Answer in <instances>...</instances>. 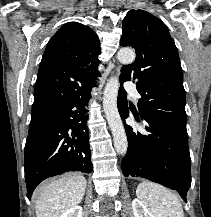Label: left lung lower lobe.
<instances>
[{
    "instance_id": "1",
    "label": "left lung lower lobe",
    "mask_w": 211,
    "mask_h": 217,
    "mask_svg": "<svg viewBox=\"0 0 211 217\" xmlns=\"http://www.w3.org/2000/svg\"><path fill=\"white\" fill-rule=\"evenodd\" d=\"M121 82V81H120ZM121 86L118 93V110L124 120L129 117L126 91ZM147 134L134 132L125 125L128 150L122 160L124 176L142 177L176 190L186 202L191 186V159L186 127L166 119L141 115Z\"/></svg>"
}]
</instances>
